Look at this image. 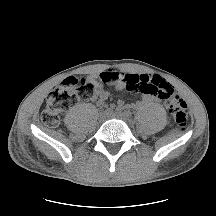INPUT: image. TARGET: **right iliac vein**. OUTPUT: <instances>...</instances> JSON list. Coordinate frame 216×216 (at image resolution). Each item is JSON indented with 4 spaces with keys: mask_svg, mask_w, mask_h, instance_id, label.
Instances as JSON below:
<instances>
[{
    "mask_svg": "<svg viewBox=\"0 0 216 216\" xmlns=\"http://www.w3.org/2000/svg\"><path fill=\"white\" fill-rule=\"evenodd\" d=\"M106 117H107V113L106 112H101L99 114V121L103 122L106 119Z\"/></svg>",
    "mask_w": 216,
    "mask_h": 216,
    "instance_id": "1",
    "label": "right iliac vein"
}]
</instances>
